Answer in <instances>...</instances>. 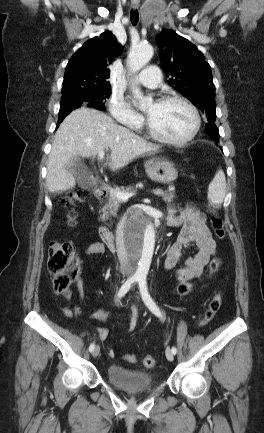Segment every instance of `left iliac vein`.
<instances>
[{
	"label": "left iliac vein",
	"instance_id": "1",
	"mask_svg": "<svg viewBox=\"0 0 264 433\" xmlns=\"http://www.w3.org/2000/svg\"><path fill=\"white\" fill-rule=\"evenodd\" d=\"M166 357L169 361H173L174 359V354L172 353V350L170 348L166 349Z\"/></svg>",
	"mask_w": 264,
	"mask_h": 433
}]
</instances>
